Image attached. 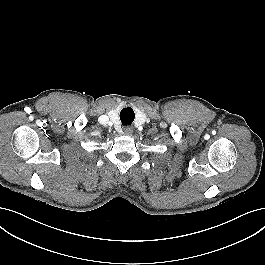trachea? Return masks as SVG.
Returning a JSON list of instances; mask_svg holds the SVG:
<instances>
[{
    "label": "trachea",
    "instance_id": "trachea-1",
    "mask_svg": "<svg viewBox=\"0 0 265 265\" xmlns=\"http://www.w3.org/2000/svg\"><path fill=\"white\" fill-rule=\"evenodd\" d=\"M134 112L131 108H123L120 113V119L123 125H130L134 120Z\"/></svg>",
    "mask_w": 265,
    "mask_h": 265
}]
</instances>
